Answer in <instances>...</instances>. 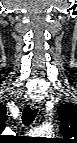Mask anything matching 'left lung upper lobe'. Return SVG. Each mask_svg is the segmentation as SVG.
<instances>
[{"mask_svg":"<svg viewBox=\"0 0 77 143\" xmlns=\"http://www.w3.org/2000/svg\"><path fill=\"white\" fill-rule=\"evenodd\" d=\"M57 112L65 143H72L70 140L77 138V106L71 103L62 104L58 106Z\"/></svg>","mask_w":77,"mask_h":143,"instance_id":"5c2ea615","label":"left lung upper lobe"}]
</instances>
